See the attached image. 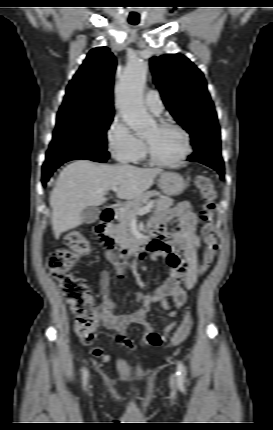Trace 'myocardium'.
Segmentation results:
<instances>
[{"instance_id": "obj_1", "label": "myocardium", "mask_w": 273, "mask_h": 430, "mask_svg": "<svg viewBox=\"0 0 273 430\" xmlns=\"http://www.w3.org/2000/svg\"><path fill=\"white\" fill-rule=\"evenodd\" d=\"M156 126L159 129L170 128L178 131L183 136V139H184V150L177 159L172 161H163L158 159L154 155L149 142L145 140V153L148 161L160 167H175L182 164L192 152V145H191V139H190L189 133L181 125L171 121H160L156 124Z\"/></svg>"}]
</instances>
